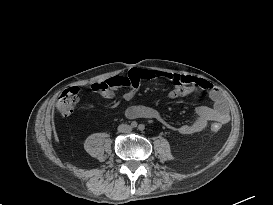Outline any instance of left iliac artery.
Segmentation results:
<instances>
[{"label": "left iliac artery", "instance_id": "44dca946", "mask_svg": "<svg viewBox=\"0 0 273 205\" xmlns=\"http://www.w3.org/2000/svg\"><path fill=\"white\" fill-rule=\"evenodd\" d=\"M138 128L139 130L143 131L145 129V126L143 124H140Z\"/></svg>", "mask_w": 273, "mask_h": 205}]
</instances>
